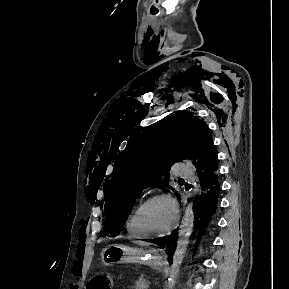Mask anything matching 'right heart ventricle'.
Wrapping results in <instances>:
<instances>
[{"label": "right heart ventricle", "mask_w": 289, "mask_h": 289, "mask_svg": "<svg viewBox=\"0 0 289 289\" xmlns=\"http://www.w3.org/2000/svg\"><path fill=\"white\" fill-rule=\"evenodd\" d=\"M135 210H133L129 216L127 217L126 220V230L131 235L132 237L135 238H146L136 227L135 222H134V216H135Z\"/></svg>", "instance_id": "obj_1"}]
</instances>
